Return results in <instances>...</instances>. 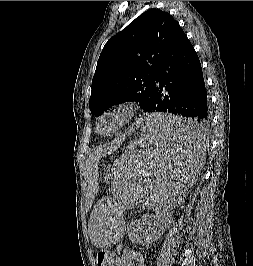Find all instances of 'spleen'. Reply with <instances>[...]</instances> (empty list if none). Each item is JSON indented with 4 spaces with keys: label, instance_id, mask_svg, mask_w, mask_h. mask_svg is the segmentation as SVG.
I'll return each instance as SVG.
<instances>
[{
    "label": "spleen",
    "instance_id": "1",
    "mask_svg": "<svg viewBox=\"0 0 253 266\" xmlns=\"http://www.w3.org/2000/svg\"><path fill=\"white\" fill-rule=\"evenodd\" d=\"M138 145L114 161L117 207H96L89 234L94 246L124 248L125 222L131 210H173L184 204L186 187L199 173L204 155L203 123L181 113L155 111L136 118Z\"/></svg>",
    "mask_w": 253,
    "mask_h": 266
}]
</instances>
